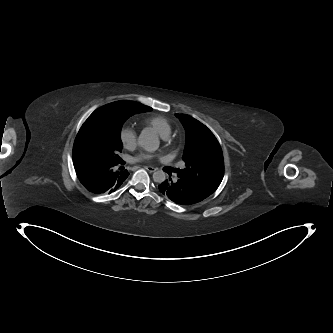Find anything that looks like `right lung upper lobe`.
Here are the masks:
<instances>
[{
    "mask_svg": "<svg viewBox=\"0 0 333 333\" xmlns=\"http://www.w3.org/2000/svg\"><path fill=\"white\" fill-rule=\"evenodd\" d=\"M116 103L117 105H127V106H130L134 109L137 110V113H143V112H147V111H150L152 108L151 107H148V106H145L141 103H137V102H133V101H117V102H114Z\"/></svg>",
    "mask_w": 333,
    "mask_h": 333,
    "instance_id": "1",
    "label": "right lung upper lobe"
}]
</instances>
